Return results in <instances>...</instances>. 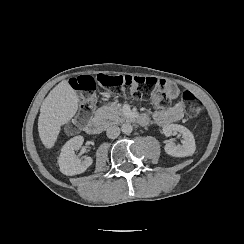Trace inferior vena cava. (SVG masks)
Here are the masks:
<instances>
[{"instance_id": "602c4592", "label": "inferior vena cava", "mask_w": 244, "mask_h": 244, "mask_svg": "<svg viewBox=\"0 0 244 244\" xmlns=\"http://www.w3.org/2000/svg\"><path fill=\"white\" fill-rule=\"evenodd\" d=\"M106 134L108 138L115 139L120 134V128L117 125L109 126L106 130Z\"/></svg>"}]
</instances>
